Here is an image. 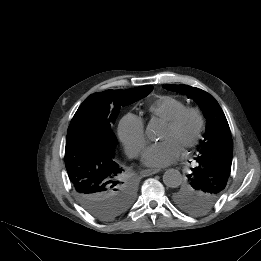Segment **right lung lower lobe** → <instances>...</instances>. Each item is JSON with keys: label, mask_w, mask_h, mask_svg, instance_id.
Wrapping results in <instances>:
<instances>
[{"label": "right lung lower lobe", "mask_w": 261, "mask_h": 261, "mask_svg": "<svg viewBox=\"0 0 261 261\" xmlns=\"http://www.w3.org/2000/svg\"><path fill=\"white\" fill-rule=\"evenodd\" d=\"M113 153L114 148L94 133L76 130L67 134L65 166L76 193L123 174Z\"/></svg>", "instance_id": "right-lung-lower-lobe-1"}]
</instances>
